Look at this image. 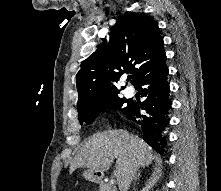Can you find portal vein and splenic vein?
<instances>
[{
    "label": "portal vein and splenic vein",
    "mask_w": 221,
    "mask_h": 191,
    "mask_svg": "<svg viewBox=\"0 0 221 191\" xmlns=\"http://www.w3.org/2000/svg\"><path fill=\"white\" fill-rule=\"evenodd\" d=\"M114 183H115V180H111V181H110V184H114Z\"/></svg>",
    "instance_id": "obj_1"
}]
</instances>
